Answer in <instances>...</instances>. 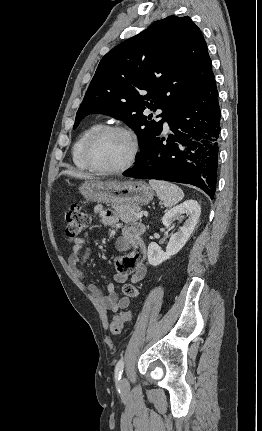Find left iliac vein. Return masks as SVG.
Segmentation results:
<instances>
[{"mask_svg": "<svg viewBox=\"0 0 262 431\" xmlns=\"http://www.w3.org/2000/svg\"><path fill=\"white\" fill-rule=\"evenodd\" d=\"M120 387H121V389H127L128 383H127V379L125 377L121 378V380H120Z\"/></svg>", "mask_w": 262, "mask_h": 431, "instance_id": "1", "label": "left iliac vein"}]
</instances>
